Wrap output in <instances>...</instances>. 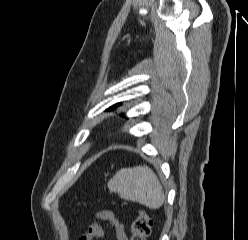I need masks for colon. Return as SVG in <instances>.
<instances>
[{"label":"colon","mask_w":248,"mask_h":240,"mask_svg":"<svg viewBox=\"0 0 248 240\" xmlns=\"http://www.w3.org/2000/svg\"><path fill=\"white\" fill-rule=\"evenodd\" d=\"M152 224L153 222L146 212H139L130 226V240H146L150 235Z\"/></svg>","instance_id":"5ec220e1"}]
</instances>
